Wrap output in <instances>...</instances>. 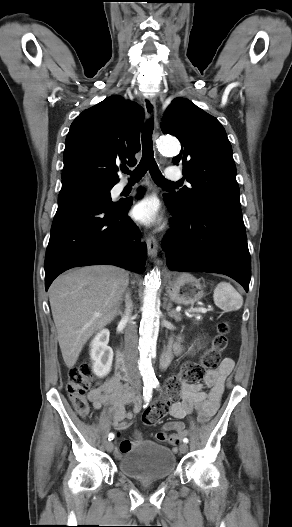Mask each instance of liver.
<instances>
[{"instance_id": "obj_1", "label": "liver", "mask_w": 292, "mask_h": 527, "mask_svg": "<svg viewBox=\"0 0 292 527\" xmlns=\"http://www.w3.org/2000/svg\"><path fill=\"white\" fill-rule=\"evenodd\" d=\"M128 273L98 265L59 276L49 288V301L63 360L72 368L87 340L118 315Z\"/></svg>"}]
</instances>
